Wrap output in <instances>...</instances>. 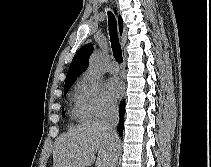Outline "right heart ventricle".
Wrapping results in <instances>:
<instances>
[{
    "label": "right heart ventricle",
    "instance_id": "e07e8e85",
    "mask_svg": "<svg viewBox=\"0 0 211 167\" xmlns=\"http://www.w3.org/2000/svg\"><path fill=\"white\" fill-rule=\"evenodd\" d=\"M71 115L79 120H84L88 118V115L86 114V112L84 111L82 105H81V101H80V97H79V92H78V85L75 88V93L73 96V104H72V108H71Z\"/></svg>",
    "mask_w": 211,
    "mask_h": 167
}]
</instances>
